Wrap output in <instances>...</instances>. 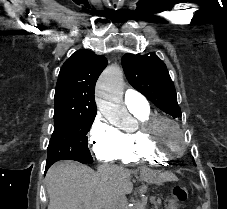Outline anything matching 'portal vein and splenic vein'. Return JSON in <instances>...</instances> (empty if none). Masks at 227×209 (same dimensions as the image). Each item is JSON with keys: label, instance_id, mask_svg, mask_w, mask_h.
<instances>
[{"label": "portal vein and splenic vein", "instance_id": "obj_1", "mask_svg": "<svg viewBox=\"0 0 227 209\" xmlns=\"http://www.w3.org/2000/svg\"><path fill=\"white\" fill-rule=\"evenodd\" d=\"M150 199L153 201L155 198L152 196Z\"/></svg>", "mask_w": 227, "mask_h": 209}]
</instances>
